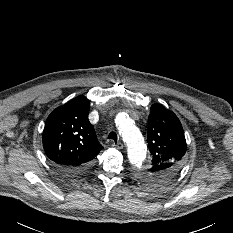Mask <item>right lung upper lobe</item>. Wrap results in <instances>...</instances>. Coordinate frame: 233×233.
Instances as JSON below:
<instances>
[{
  "label": "right lung upper lobe",
  "mask_w": 233,
  "mask_h": 233,
  "mask_svg": "<svg viewBox=\"0 0 233 233\" xmlns=\"http://www.w3.org/2000/svg\"><path fill=\"white\" fill-rule=\"evenodd\" d=\"M90 102L78 96L56 108L43 131L46 155L61 169L77 172L92 162L103 149L88 120Z\"/></svg>",
  "instance_id": "obj_1"
}]
</instances>
